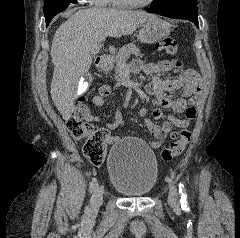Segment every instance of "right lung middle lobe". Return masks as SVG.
Listing matches in <instances>:
<instances>
[{"label":"right lung middle lobe","instance_id":"1","mask_svg":"<svg viewBox=\"0 0 240 238\" xmlns=\"http://www.w3.org/2000/svg\"><path fill=\"white\" fill-rule=\"evenodd\" d=\"M70 3H77L76 0H44V16L46 26L49 25L51 19L59 12L64 11Z\"/></svg>","mask_w":240,"mask_h":238}]
</instances>
